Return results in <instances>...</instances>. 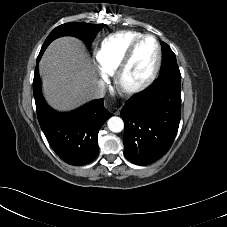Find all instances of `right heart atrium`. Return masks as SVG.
Masks as SVG:
<instances>
[{
  "mask_svg": "<svg viewBox=\"0 0 227 227\" xmlns=\"http://www.w3.org/2000/svg\"><path fill=\"white\" fill-rule=\"evenodd\" d=\"M99 74H100V78L103 81H107L108 80V73L105 72L103 69H100Z\"/></svg>",
  "mask_w": 227,
  "mask_h": 227,
  "instance_id": "d8ad5b80",
  "label": "right heart atrium"
}]
</instances>
